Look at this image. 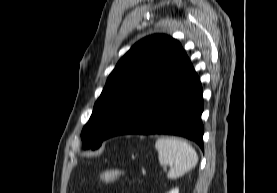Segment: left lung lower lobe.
Returning <instances> with one entry per match:
<instances>
[{
  "mask_svg": "<svg viewBox=\"0 0 277 193\" xmlns=\"http://www.w3.org/2000/svg\"><path fill=\"white\" fill-rule=\"evenodd\" d=\"M202 93L200 79L188 61L134 103L106 139L124 134L178 135L195 141L203 150Z\"/></svg>",
  "mask_w": 277,
  "mask_h": 193,
  "instance_id": "1",
  "label": "left lung lower lobe"
}]
</instances>
